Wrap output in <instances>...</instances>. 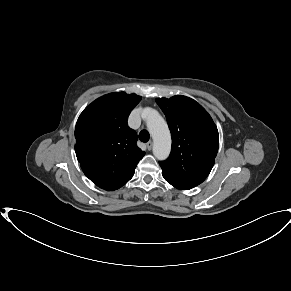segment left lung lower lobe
<instances>
[{
    "mask_svg": "<svg viewBox=\"0 0 291 291\" xmlns=\"http://www.w3.org/2000/svg\"><path fill=\"white\" fill-rule=\"evenodd\" d=\"M163 177H164V179H165L168 183H170L172 186H174V187L177 188V189H181V190H189V189L192 188V187H190V186H187V185H185V184H182V183H180V182H178V181H175V180H173V179H171V178H169V177H166V176H164V175H163Z\"/></svg>",
    "mask_w": 291,
    "mask_h": 291,
    "instance_id": "1",
    "label": "left lung lower lobe"
}]
</instances>
